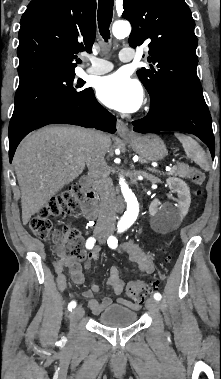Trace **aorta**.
Here are the masks:
<instances>
[{
  "label": "aorta",
  "instance_id": "obj_1",
  "mask_svg": "<svg viewBox=\"0 0 221 379\" xmlns=\"http://www.w3.org/2000/svg\"><path fill=\"white\" fill-rule=\"evenodd\" d=\"M113 35L116 38L127 37L131 32V26L128 22H115L112 27ZM119 184L121 188L122 195L127 203V210L125 211L123 217L120 220V225L124 228L132 225L137 219L139 213V204L136 196L129 188L123 177L119 178Z\"/></svg>",
  "mask_w": 221,
  "mask_h": 379
}]
</instances>
